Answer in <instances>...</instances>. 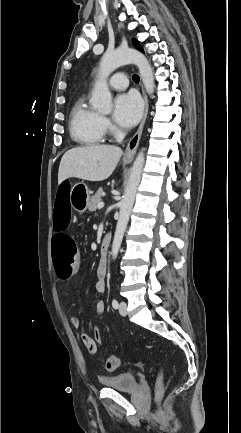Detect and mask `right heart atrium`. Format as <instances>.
<instances>
[{"mask_svg":"<svg viewBox=\"0 0 241 433\" xmlns=\"http://www.w3.org/2000/svg\"><path fill=\"white\" fill-rule=\"evenodd\" d=\"M103 124L106 129H110V130L112 129V125L107 118H103Z\"/></svg>","mask_w":241,"mask_h":433,"instance_id":"obj_1","label":"right heart atrium"}]
</instances>
